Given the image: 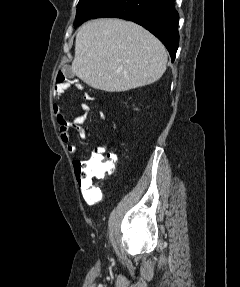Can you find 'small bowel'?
Segmentation results:
<instances>
[{
  "label": "small bowel",
  "mask_w": 240,
  "mask_h": 287,
  "mask_svg": "<svg viewBox=\"0 0 240 287\" xmlns=\"http://www.w3.org/2000/svg\"><path fill=\"white\" fill-rule=\"evenodd\" d=\"M75 86L80 87L79 84H75ZM69 87H70V84H67L64 87L63 92L59 96L58 100L53 104V114L59 126V132H60L61 139L63 140V142L67 144V150L70 153H73L76 147L71 142L70 130L71 129L76 130L80 139L82 140L86 139L87 132H86L84 124H85L90 108L86 103L81 104V107H80L81 114L78 115L73 120H67L65 116L63 115L60 100L64 92H66ZM83 98L85 101L95 100V98L89 93H85ZM98 117L101 121H104L106 119V116L103 112H99ZM106 151H107V148L105 145H100V146L95 147L92 151L91 159L96 160V159L103 158ZM84 198L89 204H94L97 200V194L92 190V192H90L89 194H84Z\"/></svg>",
  "instance_id": "small-bowel-1"
}]
</instances>
